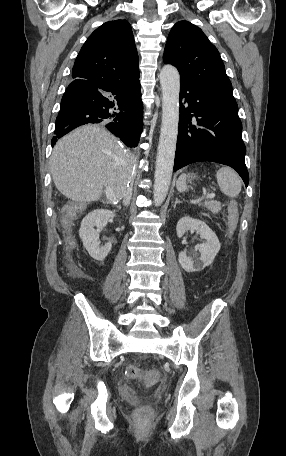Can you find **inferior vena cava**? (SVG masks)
Here are the masks:
<instances>
[{"label":"inferior vena cava","instance_id":"inferior-vena-cava-1","mask_svg":"<svg viewBox=\"0 0 286 456\" xmlns=\"http://www.w3.org/2000/svg\"><path fill=\"white\" fill-rule=\"evenodd\" d=\"M131 196H132V188L128 187L127 191L125 192V194L123 196L124 205H129L130 200H131Z\"/></svg>","mask_w":286,"mask_h":456}]
</instances>
